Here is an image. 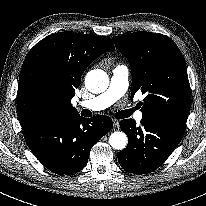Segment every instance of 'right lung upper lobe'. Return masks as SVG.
Wrapping results in <instances>:
<instances>
[{
    "label": "right lung upper lobe",
    "mask_w": 206,
    "mask_h": 206,
    "mask_svg": "<svg viewBox=\"0 0 206 206\" xmlns=\"http://www.w3.org/2000/svg\"><path fill=\"white\" fill-rule=\"evenodd\" d=\"M107 36L72 31L39 41L26 56L17 92V109L24 131L78 115L71 99L87 66L114 51Z\"/></svg>",
    "instance_id": "obj_1"
}]
</instances>
